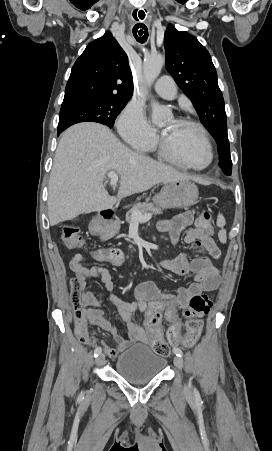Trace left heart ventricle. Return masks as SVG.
Wrapping results in <instances>:
<instances>
[{
	"instance_id": "left-heart-ventricle-1",
	"label": "left heart ventricle",
	"mask_w": 272,
	"mask_h": 451,
	"mask_svg": "<svg viewBox=\"0 0 272 451\" xmlns=\"http://www.w3.org/2000/svg\"><path fill=\"white\" fill-rule=\"evenodd\" d=\"M166 135V141L176 155L187 165L195 168H203L209 161L207 149L196 129L167 119L162 124Z\"/></svg>"
}]
</instances>
